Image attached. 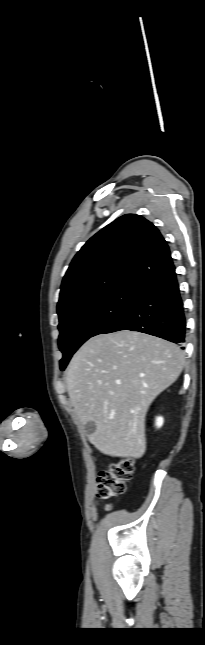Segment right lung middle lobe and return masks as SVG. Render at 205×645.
I'll return each instance as SVG.
<instances>
[{"mask_svg":"<svg viewBox=\"0 0 205 645\" xmlns=\"http://www.w3.org/2000/svg\"><path fill=\"white\" fill-rule=\"evenodd\" d=\"M141 285L126 283L109 291L75 301L59 315V348L64 370L74 352L90 337L101 334L140 296Z\"/></svg>","mask_w":205,"mask_h":645,"instance_id":"obj_1","label":"right lung middle lobe"}]
</instances>
